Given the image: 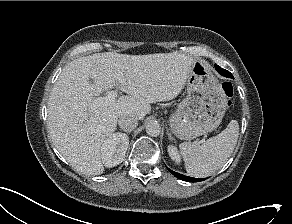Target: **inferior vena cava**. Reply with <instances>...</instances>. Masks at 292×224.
<instances>
[{
    "instance_id": "602c4592",
    "label": "inferior vena cava",
    "mask_w": 292,
    "mask_h": 224,
    "mask_svg": "<svg viewBox=\"0 0 292 224\" xmlns=\"http://www.w3.org/2000/svg\"><path fill=\"white\" fill-rule=\"evenodd\" d=\"M120 128L124 131H132L138 125V121L131 115H121L118 119Z\"/></svg>"
}]
</instances>
